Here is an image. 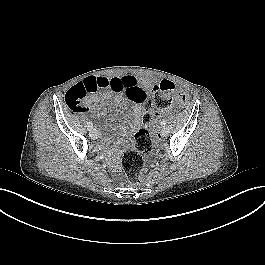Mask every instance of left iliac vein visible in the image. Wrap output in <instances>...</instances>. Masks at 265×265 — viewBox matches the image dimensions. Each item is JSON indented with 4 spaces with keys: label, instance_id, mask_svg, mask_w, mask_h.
<instances>
[{
    "label": "left iliac vein",
    "instance_id": "4c4485c4",
    "mask_svg": "<svg viewBox=\"0 0 265 265\" xmlns=\"http://www.w3.org/2000/svg\"><path fill=\"white\" fill-rule=\"evenodd\" d=\"M169 128L168 127H166V126H164L163 128H162V130H161V134H162V136H168V134H169Z\"/></svg>",
    "mask_w": 265,
    "mask_h": 265
}]
</instances>
